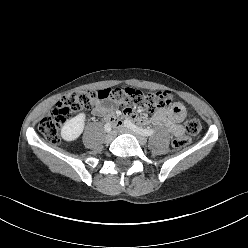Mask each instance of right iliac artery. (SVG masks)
I'll return each instance as SVG.
<instances>
[{"label":"right iliac artery","instance_id":"right-iliac-artery-1","mask_svg":"<svg viewBox=\"0 0 248 248\" xmlns=\"http://www.w3.org/2000/svg\"><path fill=\"white\" fill-rule=\"evenodd\" d=\"M104 129L106 132H110L112 130V126L110 123H106L104 126Z\"/></svg>","mask_w":248,"mask_h":248}]
</instances>
